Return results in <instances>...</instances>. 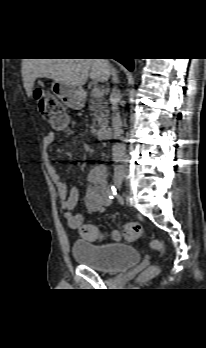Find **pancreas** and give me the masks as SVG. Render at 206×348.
<instances>
[{"label": "pancreas", "instance_id": "pancreas-1", "mask_svg": "<svg viewBox=\"0 0 206 348\" xmlns=\"http://www.w3.org/2000/svg\"><path fill=\"white\" fill-rule=\"evenodd\" d=\"M89 110L92 112L93 125L96 127H101L108 122V109L107 104L103 97L93 96L89 100Z\"/></svg>", "mask_w": 206, "mask_h": 348}]
</instances>
